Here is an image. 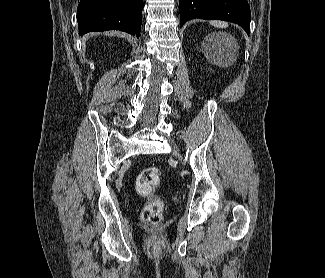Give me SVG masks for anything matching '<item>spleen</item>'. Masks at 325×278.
<instances>
[{
	"label": "spleen",
	"mask_w": 325,
	"mask_h": 278,
	"mask_svg": "<svg viewBox=\"0 0 325 278\" xmlns=\"http://www.w3.org/2000/svg\"><path fill=\"white\" fill-rule=\"evenodd\" d=\"M211 25L219 28H225L227 27V23L222 22V21H211Z\"/></svg>",
	"instance_id": "1"
}]
</instances>
